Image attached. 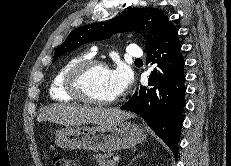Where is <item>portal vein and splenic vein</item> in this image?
<instances>
[{
  "label": "portal vein and splenic vein",
  "instance_id": "18ae733b",
  "mask_svg": "<svg viewBox=\"0 0 231 166\" xmlns=\"http://www.w3.org/2000/svg\"><path fill=\"white\" fill-rule=\"evenodd\" d=\"M118 160H119L118 157H114V158L112 159V161H113L114 163H116Z\"/></svg>",
  "mask_w": 231,
  "mask_h": 166
}]
</instances>
